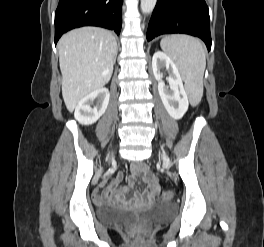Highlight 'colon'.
Returning a JSON list of instances; mask_svg holds the SVG:
<instances>
[{
	"mask_svg": "<svg viewBox=\"0 0 264 247\" xmlns=\"http://www.w3.org/2000/svg\"><path fill=\"white\" fill-rule=\"evenodd\" d=\"M173 197V193L169 190L162 191L158 195L159 202H166L169 201Z\"/></svg>",
	"mask_w": 264,
	"mask_h": 247,
	"instance_id": "obj_1",
	"label": "colon"
}]
</instances>
